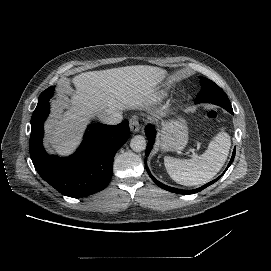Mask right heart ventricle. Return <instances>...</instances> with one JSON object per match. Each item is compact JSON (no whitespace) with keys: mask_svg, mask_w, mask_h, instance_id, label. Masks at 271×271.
<instances>
[{"mask_svg":"<svg viewBox=\"0 0 271 271\" xmlns=\"http://www.w3.org/2000/svg\"><path fill=\"white\" fill-rule=\"evenodd\" d=\"M167 94H168L167 90H161V91L158 93V95H159L160 97H165V96H167Z\"/></svg>","mask_w":271,"mask_h":271,"instance_id":"1","label":"right heart ventricle"}]
</instances>
